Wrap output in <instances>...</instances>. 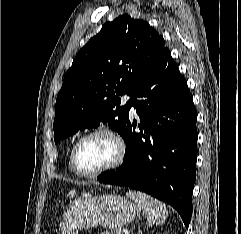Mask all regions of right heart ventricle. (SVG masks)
Here are the masks:
<instances>
[{
  "label": "right heart ventricle",
  "instance_id": "right-heart-ventricle-1",
  "mask_svg": "<svg viewBox=\"0 0 241 234\" xmlns=\"http://www.w3.org/2000/svg\"><path fill=\"white\" fill-rule=\"evenodd\" d=\"M68 167H69V169H70L72 172H74L73 169H72V166H71V152H70L69 158H68ZM74 173H75V172H74Z\"/></svg>",
  "mask_w": 241,
  "mask_h": 234
}]
</instances>
